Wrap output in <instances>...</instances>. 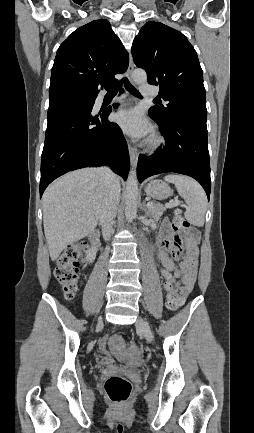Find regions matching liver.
<instances>
[{"mask_svg": "<svg viewBox=\"0 0 254 433\" xmlns=\"http://www.w3.org/2000/svg\"><path fill=\"white\" fill-rule=\"evenodd\" d=\"M105 198V174L96 168L70 172L47 188L42 198L43 223L51 260L95 229Z\"/></svg>", "mask_w": 254, "mask_h": 433, "instance_id": "6515ba94", "label": "liver"}]
</instances>
